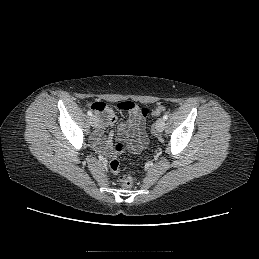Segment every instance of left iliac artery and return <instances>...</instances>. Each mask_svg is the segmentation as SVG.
Instances as JSON below:
<instances>
[{
    "mask_svg": "<svg viewBox=\"0 0 259 259\" xmlns=\"http://www.w3.org/2000/svg\"><path fill=\"white\" fill-rule=\"evenodd\" d=\"M163 119H164V120H167V119H168V115L165 114V115L163 116Z\"/></svg>",
    "mask_w": 259,
    "mask_h": 259,
    "instance_id": "1",
    "label": "left iliac artery"
}]
</instances>
